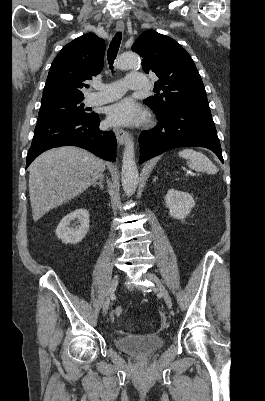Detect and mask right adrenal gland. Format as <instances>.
I'll return each mask as SVG.
<instances>
[{
  "instance_id": "right-adrenal-gland-1",
  "label": "right adrenal gland",
  "mask_w": 265,
  "mask_h": 401,
  "mask_svg": "<svg viewBox=\"0 0 265 401\" xmlns=\"http://www.w3.org/2000/svg\"><path fill=\"white\" fill-rule=\"evenodd\" d=\"M103 180L104 176H99V182H92V186H97V184H99V188H104Z\"/></svg>"
}]
</instances>
